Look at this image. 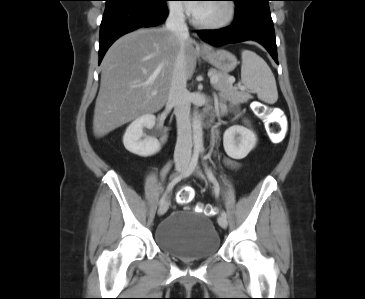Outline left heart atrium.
I'll list each match as a JSON object with an SVG mask.
<instances>
[{
  "label": "left heart atrium",
  "instance_id": "obj_1",
  "mask_svg": "<svg viewBox=\"0 0 365 299\" xmlns=\"http://www.w3.org/2000/svg\"><path fill=\"white\" fill-rule=\"evenodd\" d=\"M201 7V4H198V3H193V4H190L189 5V10L195 14Z\"/></svg>",
  "mask_w": 365,
  "mask_h": 299
}]
</instances>
